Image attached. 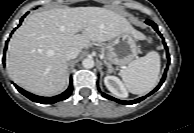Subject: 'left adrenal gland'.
<instances>
[{
	"label": "left adrenal gland",
	"instance_id": "obj_1",
	"mask_svg": "<svg viewBox=\"0 0 194 133\" xmlns=\"http://www.w3.org/2000/svg\"><path fill=\"white\" fill-rule=\"evenodd\" d=\"M108 69H107V73L108 74H110L111 72H113L114 71V69L112 68V66L111 65H108V67H107Z\"/></svg>",
	"mask_w": 194,
	"mask_h": 133
}]
</instances>
